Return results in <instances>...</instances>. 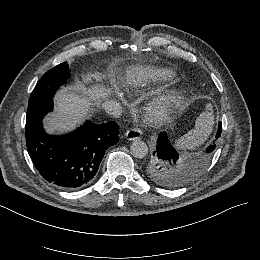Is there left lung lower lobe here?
<instances>
[{"label": "left lung lower lobe", "mask_w": 260, "mask_h": 260, "mask_svg": "<svg viewBox=\"0 0 260 260\" xmlns=\"http://www.w3.org/2000/svg\"><path fill=\"white\" fill-rule=\"evenodd\" d=\"M222 125L219 123L218 131L216 134V138L218 139L221 135ZM215 149V144L209 145L206 149V152H213ZM157 155L164 160H176L179 158V154L175 150V148L170 144L165 132H161L158 137L157 147H156Z\"/></svg>", "instance_id": "0a47b994"}]
</instances>
